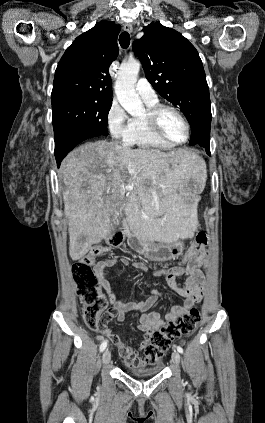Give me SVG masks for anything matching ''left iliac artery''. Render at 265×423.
Masks as SVG:
<instances>
[{"label":"left iliac artery","instance_id":"left-iliac-artery-1","mask_svg":"<svg viewBox=\"0 0 265 423\" xmlns=\"http://www.w3.org/2000/svg\"><path fill=\"white\" fill-rule=\"evenodd\" d=\"M176 348H177V351H178L179 353H181V354L183 353V348H182V347L177 346Z\"/></svg>","mask_w":265,"mask_h":423}]
</instances>
